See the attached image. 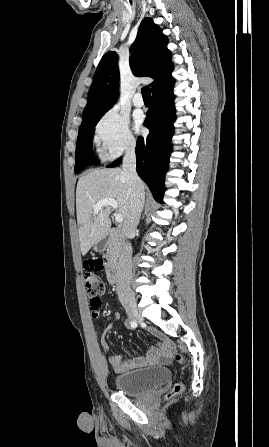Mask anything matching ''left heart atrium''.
Listing matches in <instances>:
<instances>
[{
    "instance_id": "39dd6f15",
    "label": "left heart atrium",
    "mask_w": 269,
    "mask_h": 447,
    "mask_svg": "<svg viewBox=\"0 0 269 447\" xmlns=\"http://www.w3.org/2000/svg\"><path fill=\"white\" fill-rule=\"evenodd\" d=\"M144 118L145 117H144L143 113H137L135 115V127L139 131H143L144 130V127H143Z\"/></svg>"
}]
</instances>
